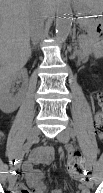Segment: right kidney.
Returning a JSON list of instances; mask_svg holds the SVG:
<instances>
[{"label": "right kidney", "instance_id": "right-kidney-1", "mask_svg": "<svg viewBox=\"0 0 103 193\" xmlns=\"http://www.w3.org/2000/svg\"><path fill=\"white\" fill-rule=\"evenodd\" d=\"M17 75H1L0 78V108L4 113H12L19 107L20 103L17 97L10 94V89L14 86Z\"/></svg>", "mask_w": 103, "mask_h": 193}]
</instances>
